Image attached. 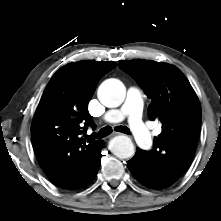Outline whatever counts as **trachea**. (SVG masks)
I'll list each match as a JSON object with an SVG mask.
<instances>
[{
    "instance_id": "3493384b",
    "label": "trachea",
    "mask_w": 221,
    "mask_h": 221,
    "mask_svg": "<svg viewBox=\"0 0 221 221\" xmlns=\"http://www.w3.org/2000/svg\"><path fill=\"white\" fill-rule=\"evenodd\" d=\"M114 130L117 132L124 133V134H128V135L130 134V130L126 126H117L114 128ZM111 132H112V128L110 126H105L99 131L97 138L98 139L104 138L108 136Z\"/></svg>"
}]
</instances>
